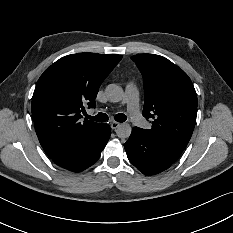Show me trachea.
Returning a JSON list of instances; mask_svg holds the SVG:
<instances>
[{
  "mask_svg": "<svg viewBox=\"0 0 233 233\" xmlns=\"http://www.w3.org/2000/svg\"><path fill=\"white\" fill-rule=\"evenodd\" d=\"M87 118L97 122H106L109 119L108 115H106L105 113H98L94 117L87 115ZM114 119L117 122H124L126 120V116L124 114L119 113L115 115Z\"/></svg>",
  "mask_w": 233,
  "mask_h": 233,
  "instance_id": "3493384b",
  "label": "trachea"
}]
</instances>
